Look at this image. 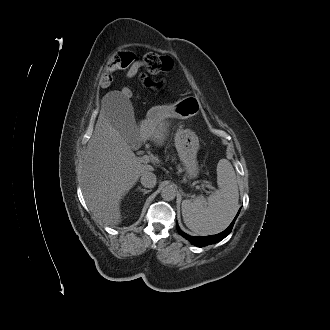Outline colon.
<instances>
[{
    "mask_svg": "<svg viewBox=\"0 0 330 330\" xmlns=\"http://www.w3.org/2000/svg\"><path fill=\"white\" fill-rule=\"evenodd\" d=\"M134 61V56L131 52L122 51L114 54L106 64L102 73V81L110 83L112 81L113 72L128 68ZM142 62L145 68V73L140 77L143 85L149 89L160 88L162 83L153 80L150 76L170 71L173 68V60L171 57L151 53L144 56ZM121 92L126 97L132 94L131 90L128 88H123Z\"/></svg>",
    "mask_w": 330,
    "mask_h": 330,
    "instance_id": "obj_1",
    "label": "colon"
}]
</instances>
